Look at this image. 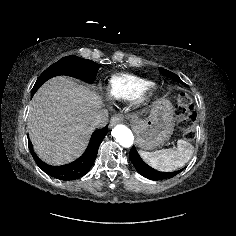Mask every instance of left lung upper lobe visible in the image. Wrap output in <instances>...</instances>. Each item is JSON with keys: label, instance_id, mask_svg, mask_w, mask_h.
<instances>
[{"label": "left lung upper lobe", "instance_id": "1", "mask_svg": "<svg viewBox=\"0 0 236 236\" xmlns=\"http://www.w3.org/2000/svg\"><path fill=\"white\" fill-rule=\"evenodd\" d=\"M159 70L165 76H167V77H169V78H171V79H173V80H175V81H177V82H179L181 84L186 85L176 74H174V73H172V72H170V71H168L166 69H163V68H159ZM150 172H154V171L150 170Z\"/></svg>", "mask_w": 236, "mask_h": 236}]
</instances>
